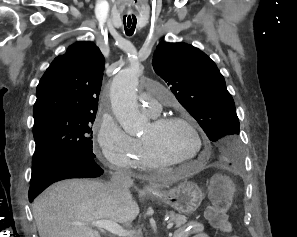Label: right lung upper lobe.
<instances>
[{"mask_svg": "<svg viewBox=\"0 0 297 237\" xmlns=\"http://www.w3.org/2000/svg\"><path fill=\"white\" fill-rule=\"evenodd\" d=\"M104 57L92 42H79L51 63L41 78L34 104V123L50 115L96 113Z\"/></svg>", "mask_w": 297, "mask_h": 237, "instance_id": "right-lung-upper-lobe-1", "label": "right lung upper lobe"}]
</instances>
